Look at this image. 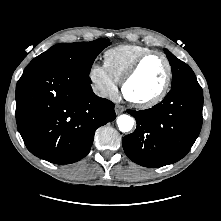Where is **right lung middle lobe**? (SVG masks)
I'll return each instance as SVG.
<instances>
[{"mask_svg": "<svg viewBox=\"0 0 221 221\" xmlns=\"http://www.w3.org/2000/svg\"><path fill=\"white\" fill-rule=\"evenodd\" d=\"M110 44L107 39L57 44L34 58L26 68L32 66H57L89 74L97 55Z\"/></svg>", "mask_w": 221, "mask_h": 221, "instance_id": "1", "label": "right lung middle lobe"}]
</instances>
